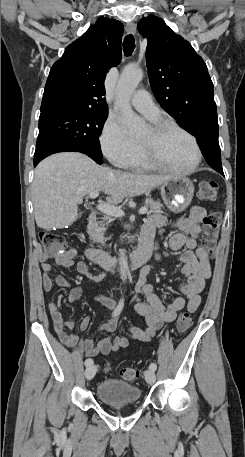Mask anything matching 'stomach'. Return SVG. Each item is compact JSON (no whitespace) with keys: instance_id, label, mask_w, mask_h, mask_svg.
I'll return each instance as SVG.
<instances>
[{"instance_id":"obj_1","label":"stomach","mask_w":245,"mask_h":457,"mask_svg":"<svg viewBox=\"0 0 245 457\" xmlns=\"http://www.w3.org/2000/svg\"><path fill=\"white\" fill-rule=\"evenodd\" d=\"M160 190L165 204L173 212L185 210L194 196V184L186 176H176L162 182Z\"/></svg>"}]
</instances>
